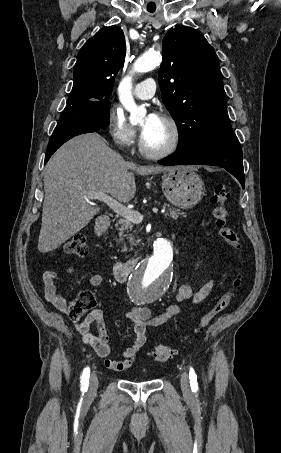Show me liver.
Here are the masks:
<instances>
[{"label": "liver", "instance_id": "6515ba94", "mask_svg": "<svg viewBox=\"0 0 281 453\" xmlns=\"http://www.w3.org/2000/svg\"><path fill=\"white\" fill-rule=\"evenodd\" d=\"M177 166H136L108 146L98 132L74 136L56 150L44 170L40 253H49L86 227L99 206L85 198L88 190L108 192L121 202L134 198L137 174H157ZM134 170V172H131Z\"/></svg>", "mask_w": 281, "mask_h": 453}]
</instances>
